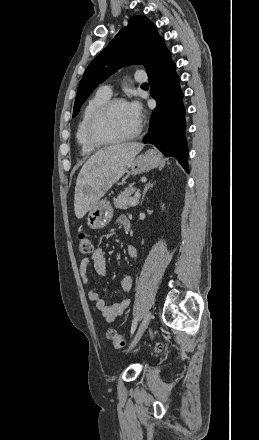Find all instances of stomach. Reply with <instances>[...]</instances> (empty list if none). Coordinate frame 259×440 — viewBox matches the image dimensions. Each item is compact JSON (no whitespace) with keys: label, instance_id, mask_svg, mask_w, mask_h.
<instances>
[{"label":"stomach","instance_id":"1","mask_svg":"<svg viewBox=\"0 0 259 440\" xmlns=\"http://www.w3.org/2000/svg\"><path fill=\"white\" fill-rule=\"evenodd\" d=\"M161 163V156L155 150H148L133 160L128 173L137 175L148 172ZM113 217V208L109 201L101 200L89 210L87 223L92 229L98 230L106 227Z\"/></svg>","mask_w":259,"mask_h":440}]
</instances>
